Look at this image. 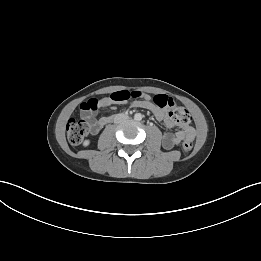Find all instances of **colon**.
Returning a JSON list of instances; mask_svg holds the SVG:
<instances>
[{
  "label": "colon",
  "mask_w": 261,
  "mask_h": 261,
  "mask_svg": "<svg viewBox=\"0 0 261 261\" xmlns=\"http://www.w3.org/2000/svg\"><path fill=\"white\" fill-rule=\"evenodd\" d=\"M144 95L139 91H117L112 93L108 98L98 97L86 100L80 105L81 112L88 117L93 111L97 110L106 100L112 103L123 104L129 100L139 101ZM160 109L169 110L170 118L181 124H188L191 121V116L188 110L182 106H176L174 101L166 95H156L152 100ZM90 130V125L86 118H71L66 126L68 140L71 144H80ZM182 152L185 156L190 155L193 149L192 137H186L182 142Z\"/></svg>",
  "instance_id": "colon-1"
}]
</instances>
